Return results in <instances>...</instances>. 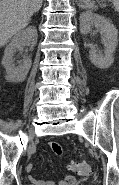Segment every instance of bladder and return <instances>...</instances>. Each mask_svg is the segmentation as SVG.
I'll return each mask as SVG.
<instances>
[{
    "instance_id": "bladder-1",
    "label": "bladder",
    "mask_w": 119,
    "mask_h": 185,
    "mask_svg": "<svg viewBox=\"0 0 119 185\" xmlns=\"http://www.w3.org/2000/svg\"><path fill=\"white\" fill-rule=\"evenodd\" d=\"M82 185H92V184H82Z\"/></svg>"
}]
</instances>
